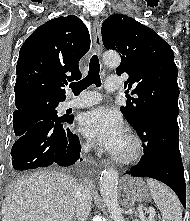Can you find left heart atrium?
Segmentation results:
<instances>
[{"instance_id": "1", "label": "left heart atrium", "mask_w": 190, "mask_h": 221, "mask_svg": "<svg viewBox=\"0 0 190 221\" xmlns=\"http://www.w3.org/2000/svg\"><path fill=\"white\" fill-rule=\"evenodd\" d=\"M80 129L87 137L112 150L125 134L121 116L106 107H97L84 113Z\"/></svg>"}]
</instances>
